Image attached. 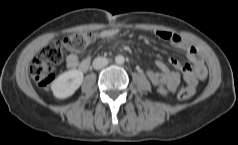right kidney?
<instances>
[{
  "mask_svg": "<svg viewBox=\"0 0 238 145\" xmlns=\"http://www.w3.org/2000/svg\"><path fill=\"white\" fill-rule=\"evenodd\" d=\"M84 74L80 70L72 69L60 74L51 84V90L56 98L64 99L72 96L81 86Z\"/></svg>",
  "mask_w": 238,
  "mask_h": 145,
  "instance_id": "obj_1",
  "label": "right kidney"
}]
</instances>
